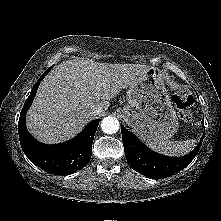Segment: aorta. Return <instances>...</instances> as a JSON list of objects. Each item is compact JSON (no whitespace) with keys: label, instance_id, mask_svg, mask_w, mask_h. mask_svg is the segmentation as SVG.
<instances>
[{"label":"aorta","instance_id":"obj_1","mask_svg":"<svg viewBox=\"0 0 221 221\" xmlns=\"http://www.w3.org/2000/svg\"><path fill=\"white\" fill-rule=\"evenodd\" d=\"M120 124L117 118L108 116L101 121L102 131L106 134H114L119 130Z\"/></svg>","mask_w":221,"mask_h":221}]
</instances>
